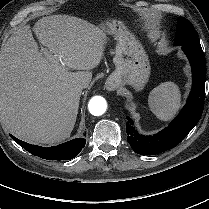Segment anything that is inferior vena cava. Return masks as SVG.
<instances>
[{
    "instance_id": "1",
    "label": "inferior vena cava",
    "mask_w": 209,
    "mask_h": 209,
    "mask_svg": "<svg viewBox=\"0 0 209 209\" xmlns=\"http://www.w3.org/2000/svg\"><path fill=\"white\" fill-rule=\"evenodd\" d=\"M83 88H84V85L82 83H78L75 86L76 91L79 92V93H81Z\"/></svg>"
}]
</instances>
